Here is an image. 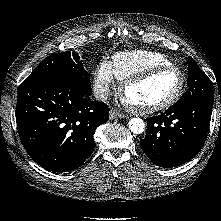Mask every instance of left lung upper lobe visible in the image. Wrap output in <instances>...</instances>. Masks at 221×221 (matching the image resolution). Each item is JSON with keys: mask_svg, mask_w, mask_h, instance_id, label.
<instances>
[{"mask_svg": "<svg viewBox=\"0 0 221 221\" xmlns=\"http://www.w3.org/2000/svg\"><path fill=\"white\" fill-rule=\"evenodd\" d=\"M188 87L189 89L175 103H182L192 98H205L213 100L214 91L211 80L200 70L196 62L188 57Z\"/></svg>", "mask_w": 221, "mask_h": 221, "instance_id": "obj_1", "label": "left lung upper lobe"}]
</instances>
